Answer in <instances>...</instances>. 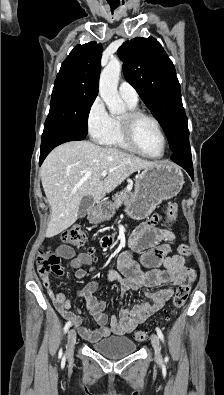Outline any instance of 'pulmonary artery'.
Segmentation results:
<instances>
[{
    "instance_id": "pulmonary-artery-1",
    "label": "pulmonary artery",
    "mask_w": 224,
    "mask_h": 395,
    "mask_svg": "<svg viewBox=\"0 0 224 395\" xmlns=\"http://www.w3.org/2000/svg\"><path fill=\"white\" fill-rule=\"evenodd\" d=\"M119 94L121 98L131 104H137L138 102V93L134 89L132 85H130L126 81H122L119 85Z\"/></svg>"
}]
</instances>
